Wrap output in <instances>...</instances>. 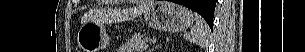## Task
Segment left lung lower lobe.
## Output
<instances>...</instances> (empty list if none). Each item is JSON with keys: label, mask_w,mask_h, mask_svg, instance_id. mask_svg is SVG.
Wrapping results in <instances>:
<instances>
[{"label": "left lung lower lobe", "mask_w": 305, "mask_h": 52, "mask_svg": "<svg viewBox=\"0 0 305 52\" xmlns=\"http://www.w3.org/2000/svg\"><path fill=\"white\" fill-rule=\"evenodd\" d=\"M172 1L191 8L192 10L199 13L202 17L204 14L214 13L215 5L217 2V0H172ZM209 26L211 29L213 28V25L209 24Z\"/></svg>", "instance_id": "obj_1"}]
</instances>
